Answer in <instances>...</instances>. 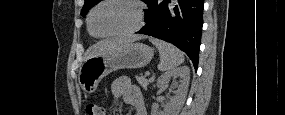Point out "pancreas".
<instances>
[{
  "mask_svg": "<svg viewBox=\"0 0 285 115\" xmlns=\"http://www.w3.org/2000/svg\"><path fill=\"white\" fill-rule=\"evenodd\" d=\"M135 78L138 81V83L141 85V87H143L145 89L147 88V86L150 82V79H146V77L142 76V75L136 76Z\"/></svg>",
  "mask_w": 285,
  "mask_h": 115,
  "instance_id": "cf45deb5",
  "label": "pancreas"
}]
</instances>
